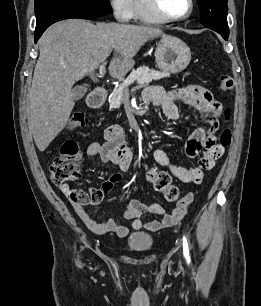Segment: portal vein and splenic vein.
I'll return each instance as SVG.
<instances>
[{
  "instance_id": "18ae733b",
  "label": "portal vein and splenic vein",
  "mask_w": 261,
  "mask_h": 306,
  "mask_svg": "<svg viewBox=\"0 0 261 306\" xmlns=\"http://www.w3.org/2000/svg\"><path fill=\"white\" fill-rule=\"evenodd\" d=\"M105 72H106L105 65L101 64L100 67H99V74H100V76H104Z\"/></svg>"
}]
</instances>
